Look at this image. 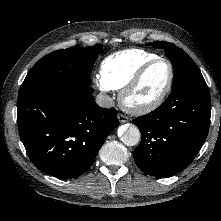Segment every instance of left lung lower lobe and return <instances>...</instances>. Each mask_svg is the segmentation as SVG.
I'll use <instances>...</instances> for the list:
<instances>
[{"instance_id":"obj_1","label":"left lung lower lobe","mask_w":221,"mask_h":221,"mask_svg":"<svg viewBox=\"0 0 221 221\" xmlns=\"http://www.w3.org/2000/svg\"><path fill=\"white\" fill-rule=\"evenodd\" d=\"M211 100L207 85L173 90L156 110L133 120L142 139L134 150L146 174L169 177L194 160L209 131Z\"/></svg>"}]
</instances>
